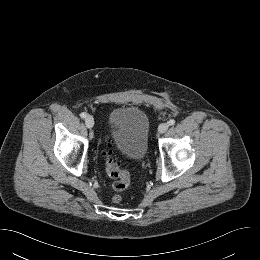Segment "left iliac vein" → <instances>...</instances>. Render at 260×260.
Listing matches in <instances>:
<instances>
[{
	"label": "left iliac vein",
	"mask_w": 260,
	"mask_h": 260,
	"mask_svg": "<svg viewBox=\"0 0 260 260\" xmlns=\"http://www.w3.org/2000/svg\"><path fill=\"white\" fill-rule=\"evenodd\" d=\"M168 127H169V125L167 123H162L158 127V132L160 134L165 133L167 131Z\"/></svg>",
	"instance_id": "left-iliac-vein-1"
}]
</instances>
